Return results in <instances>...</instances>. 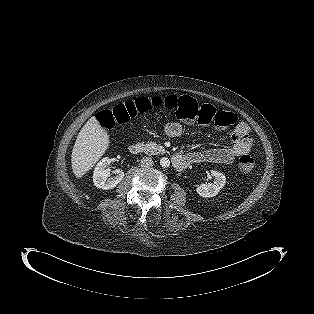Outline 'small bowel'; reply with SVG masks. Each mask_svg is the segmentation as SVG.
I'll return each instance as SVG.
<instances>
[{
    "label": "small bowel",
    "instance_id": "small-bowel-1",
    "mask_svg": "<svg viewBox=\"0 0 314 314\" xmlns=\"http://www.w3.org/2000/svg\"><path fill=\"white\" fill-rule=\"evenodd\" d=\"M183 132L184 126L179 122H170L164 126L165 135L171 138L179 137ZM231 138L232 144L227 148H209L190 153L188 156L192 157V163L232 164L251 149L248 125L244 122L237 124Z\"/></svg>",
    "mask_w": 314,
    "mask_h": 314
}]
</instances>
